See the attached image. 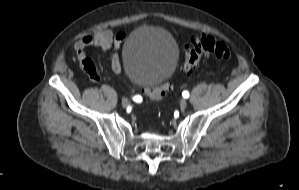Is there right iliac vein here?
<instances>
[{
  "label": "right iliac vein",
  "mask_w": 299,
  "mask_h": 190,
  "mask_svg": "<svg viewBox=\"0 0 299 190\" xmlns=\"http://www.w3.org/2000/svg\"><path fill=\"white\" fill-rule=\"evenodd\" d=\"M129 105V100L127 98L122 99V106L127 107Z\"/></svg>",
  "instance_id": "1"
}]
</instances>
